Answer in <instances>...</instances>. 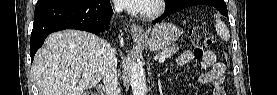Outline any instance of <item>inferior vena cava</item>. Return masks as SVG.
<instances>
[{
	"mask_svg": "<svg viewBox=\"0 0 277 95\" xmlns=\"http://www.w3.org/2000/svg\"><path fill=\"white\" fill-rule=\"evenodd\" d=\"M122 8L115 6V12L119 13ZM104 87L106 95H120L118 88L117 58L114 48L109 46L106 50L104 59Z\"/></svg>",
	"mask_w": 277,
	"mask_h": 95,
	"instance_id": "inferior-vena-cava-1",
	"label": "inferior vena cava"
}]
</instances>
